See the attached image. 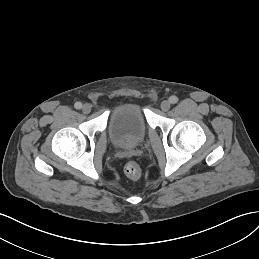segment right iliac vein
Masks as SVG:
<instances>
[{
  "mask_svg": "<svg viewBox=\"0 0 259 259\" xmlns=\"http://www.w3.org/2000/svg\"><path fill=\"white\" fill-rule=\"evenodd\" d=\"M82 111L85 114H89L91 112V106L89 104H84L82 107Z\"/></svg>",
  "mask_w": 259,
  "mask_h": 259,
  "instance_id": "obj_1",
  "label": "right iliac vein"
}]
</instances>
